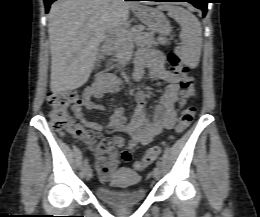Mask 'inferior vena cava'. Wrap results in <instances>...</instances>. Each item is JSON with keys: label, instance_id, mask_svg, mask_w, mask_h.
<instances>
[{"label": "inferior vena cava", "instance_id": "inferior-vena-cava-1", "mask_svg": "<svg viewBox=\"0 0 260 217\" xmlns=\"http://www.w3.org/2000/svg\"><path fill=\"white\" fill-rule=\"evenodd\" d=\"M111 2H112L113 4H116V3L119 2V0H111Z\"/></svg>", "mask_w": 260, "mask_h": 217}]
</instances>
